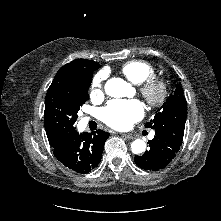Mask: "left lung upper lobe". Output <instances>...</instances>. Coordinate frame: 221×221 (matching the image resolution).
Masks as SVG:
<instances>
[{
    "label": "left lung upper lobe",
    "instance_id": "1",
    "mask_svg": "<svg viewBox=\"0 0 221 221\" xmlns=\"http://www.w3.org/2000/svg\"><path fill=\"white\" fill-rule=\"evenodd\" d=\"M187 116V105L183 96L181 83L176 84V89L170 95L153 120L145 124L146 128H152L155 132H163L183 139L185 122Z\"/></svg>",
    "mask_w": 221,
    "mask_h": 221
}]
</instances>
